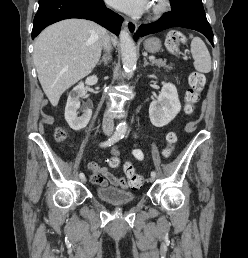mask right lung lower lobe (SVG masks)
Returning a JSON list of instances; mask_svg holds the SVG:
<instances>
[{"label": "right lung lower lobe", "instance_id": "1", "mask_svg": "<svg viewBox=\"0 0 248 258\" xmlns=\"http://www.w3.org/2000/svg\"><path fill=\"white\" fill-rule=\"evenodd\" d=\"M69 18L92 20L116 35L123 22L120 15L106 8L103 0H39L32 39L48 25Z\"/></svg>", "mask_w": 248, "mask_h": 258}]
</instances>
